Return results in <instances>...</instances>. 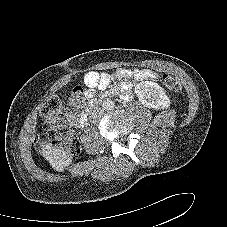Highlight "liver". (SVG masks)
I'll use <instances>...</instances> for the list:
<instances>
[{
	"label": "liver",
	"instance_id": "1",
	"mask_svg": "<svg viewBox=\"0 0 227 227\" xmlns=\"http://www.w3.org/2000/svg\"><path fill=\"white\" fill-rule=\"evenodd\" d=\"M40 154L50 163L56 171L63 169L72 163V157L68 151H64L61 147L42 141L40 143Z\"/></svg>",
	"mask_w": 227,
	"mask_h": 227
}]
</instances>
